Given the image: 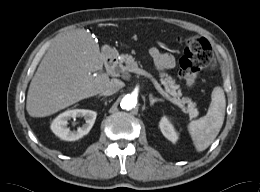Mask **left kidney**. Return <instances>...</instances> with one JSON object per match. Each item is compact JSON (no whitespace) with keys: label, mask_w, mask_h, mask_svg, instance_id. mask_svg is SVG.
Masks as SVG:
<instances>
[{"label":"left kidney","mask_w":260,"mask_h":192,"mask_svg":"<svg viewBox=\"0 0 260 192\" xmlns=\"http://www.w3.org/2000/svg\"><path fill=\"white\" fill-rule=\"evenodd\" d=\"M159 126L162 134L168 140H170L173 143H175L178 140V134L166 116L162 117Z\"/></svg>","instance_id":"5707ae66"}]
</instances>
